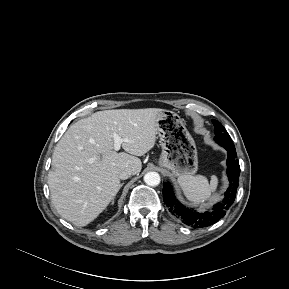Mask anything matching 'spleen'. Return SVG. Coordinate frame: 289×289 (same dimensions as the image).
Wrapping results in <instances>:
<instances>
[{
  "label": "spleen",
  "mask_w": 289,
  "mask_h": 289,
  "mask_svg": "<svg viewBox=\"0 0 289 289\" xmlns=\"http://www.w3.org/2000/svg\"><path fill=\"white\" fill-rule=\"evenodd\" d=\"M178 183L186 198L193 204H199L210 198L218 186V178L211 176L210 182L202 175H186L178 178Z\"/></svg>",
  "instance_id": "3e777b00"
}]
</instances>
